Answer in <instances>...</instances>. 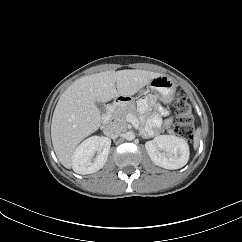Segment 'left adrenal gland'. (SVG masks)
<instances>
[{
    "label": "left adrenal gland",
    "instance_id": "obj_1",
    "mask_svg": "<svg viewBox=\"0 0 242 242\" xmlns=\"http://www.w3.org/2000/svg\"><path fill=\"white\" fill-rule=\"evenodd\" d=\"M142 138L147 139L148 137L146 135H142Z\"/></svg>",
    "mask_w": 242,
    "mask_h": 242
}]
</instances>
